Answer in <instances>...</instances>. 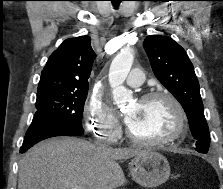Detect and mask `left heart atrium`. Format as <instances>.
<instances>
[{
	"instance_id": "obj_1",
	"label": "left heart atrium",
	"mask_w": 223,
	"mask_h": 189,
	"mask_svg": "<svg viewBox=\"0 0 223 189\" xmlns=\"http://www.w3.org/2000/svg\"><path fill=\"white\" fill-rule=\"evenodd\" d=\"M126 123L129 125L130 121H131V118L130 117H126L125 119Z\"/></svg>"
}]
</instances>
